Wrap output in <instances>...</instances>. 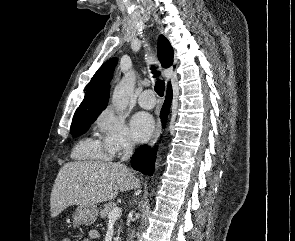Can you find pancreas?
Wrapping results in <instances>:
<instances>
[{"label": "pancreas", "instance_id": "cf45deb5", "mask_svg": "<svg viewBox=\"0 0 295 241\" xmlns=\"http://www.w3.org/2000/svg\"><path fill=\"white\" fill-rule=\"evenodd\" d=\"M116 207L115 202H108L104 205V208L100 211V218L105 219L109 213ZM120 234V228L118 229V235Z\"/></svg>", "mask_w": 295, "mask_h": 241}]
</instances>
